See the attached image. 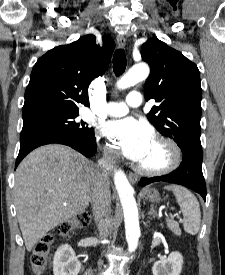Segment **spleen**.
I'll return each mask as SVG.
<instances>
[{
	"mask_svg": "<svg viewBox=\"0 0 225 275\" xmlns=\"http://www.w3.org/2000/svg\"><path fill=\"white\" fill-rule=\"evenodd\" d=\"M164 189L172 191L176 202L184 216V230L190 235H196L199 232L201 224V212L199 202L196 197L186 188L178 185L165 186Z\"/></svg>",
	"mask_w": 225,
	"mask_h": 275,
	"instance_id": "spleen-1",
	"label": "spleen"
}]
</instances>
